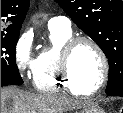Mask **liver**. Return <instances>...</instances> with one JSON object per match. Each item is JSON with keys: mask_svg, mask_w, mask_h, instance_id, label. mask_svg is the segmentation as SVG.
Instances as JSON below:
<instances>
[{"mask_svg": "<svg viewBox=\"0 0 123 113\" xmlns=\"http://www.w3.org/2000/svg\"><path fill=\"white\" fill-rule=\"evenodd\" d=\"M81 105L62 95L35 94L16 87L1 88V113H64Z\"/></svg>", "mask_w": 123, "mask_h": 113, "instance_id": "1", "label": "liver"}]
</instances>
